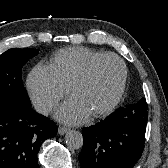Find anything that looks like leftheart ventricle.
Segmentation results:
<instances>
[{
  "label": "left heart ventricle",
  "mask_w": 168,
  "mask_h": 168,
  "mask_svg": "<svg viewBox=\"0 0 168 168\" xmlns=\"http://www.w3.org/2000/svg\"><path fill=\"white\" fill-rule=\"evenodd\" d=\"M121 79V68L114 59L100 62L90 79L73 93L88 107L91 113L101 110L113 99Z\"/></svg>",
  "instance_id": "1"
}]
</instances>
